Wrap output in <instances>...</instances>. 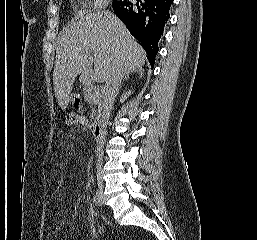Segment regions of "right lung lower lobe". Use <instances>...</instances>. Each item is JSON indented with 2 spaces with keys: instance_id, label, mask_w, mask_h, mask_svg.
Here are the masks:
<instances>
[{
  "instance_id": "98d812e1",
  "label": "right lung lower lobe",
  "mask_w": 257,
  "mask_h": 240,
  "mask_svg": "<svg viewBox=\"0 0 257 240\" xmlns=\"http://www.w3.org/2000/svg\"><path fill=\"white\" fill-rule=\"evenodd\" d=\"M172 3L173 0H113L112 3L116 15L146 51L152 67Z\"/></svg>"
}]
</instances>
